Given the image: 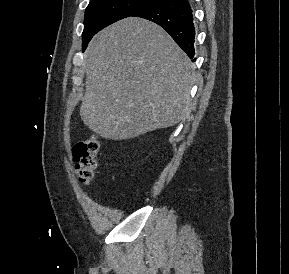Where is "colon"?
Listing matches in <instances>:
<instances>
[{
    "label": "colon",
    "instance_id": "obj_1",
    "mask_svg": "<svg viewBox=\"0 0 289 274\" xmlns=\"http://www.w3.org/2000/svg\"><path fill=\"white\" fill-rule=\"evenodd\" d=\"M97 136L90 135L78 142L73 148V156L81 182L88 184L93 178L97 167V155L99 151Z\"/></svg>",
    "mask_w": 289,
    "mask_h": 274
}]
</instances>
